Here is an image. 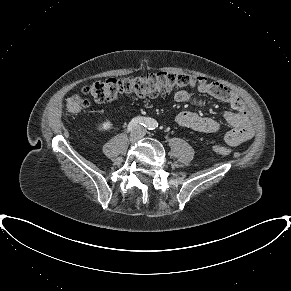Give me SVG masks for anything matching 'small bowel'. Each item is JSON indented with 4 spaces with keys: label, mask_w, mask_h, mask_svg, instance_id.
Returning <instances> with one entry per match:
<instances>
[{
    "label": "small bowel",
    "mask_w": 291,
    "mask_h": 291,
    "mask_svg": "<svg viewBox=\"0 0 291 291\" xmlns=\"http://www.w3.org/2000/svg\"><path fill=\"white\" fill-rule=\"evenodd\" d=\"M197 89L202 93L209 94L216 99L228 103L233 109V111L223 114L224 121L230 127V129L224 133V140L228 145L234 146L252 137L253 130L248 111L237 94L218 82L209 83L197 87ZM174 100L179 103L189 102L195 105L202 104L201 101L193 98L185 90L177 91L174 94ZM175 121L180 126L199 132L218 133L222 130V125L218 121L209 117L199 116L189 111L178 113L175 117Z\"/></svg>",
    "instance_id": "small-bowel-1"
}]
</instances>
